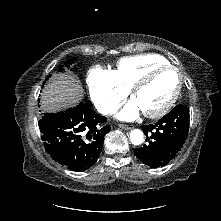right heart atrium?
I'll list each match as a JSON object with an SVG mask.
<instances>
[{
	"label": "right heart atrium",
	"instance_id": "obj_1",
	"mask_svg": "<svg viewBox=\"0 0 221 221\" xmlns=\"http://www.w3.org/2000/svg\"><path fill=\"white\" fill-rule=\"evenodd\" d=\"M87 83L91 99L102 114L113 112L128 95L113 71L96 66L90 69Z\"/></svg>",
	"mask_w": 221,
	"mask_h": 221
}]
</instances>
